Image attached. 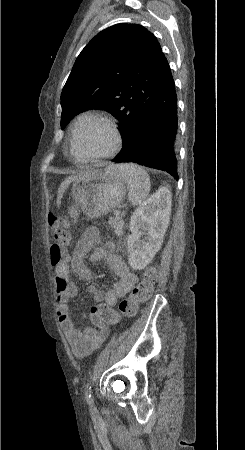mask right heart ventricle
Instances as JSON below:
<instances>
[{
	"instance_id": "e07e8e85",
	"label": "right heart ventricle",
	"mask_w": 245,
	"mask_h": 450,
	"mask_svg": "<svg viewBox=\"0 0 245 450\" xmlns=\"http://www.w3.org/2000/svg\"><path fill=\"white\" fill-rule=\"evenodd\" d=\"M94 116H95L94 114L87 112V113L81 114V115L77 118L76 121L88 120V119H90V118H92V117H94ZM70 153H71V155H72L75 159H77V158L74 156V154L71 152V150H70ZM77 160H78V159H77Z\"/></svg>"
}]
</instances>
